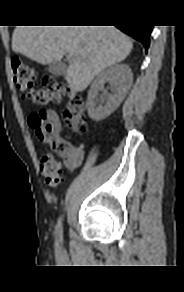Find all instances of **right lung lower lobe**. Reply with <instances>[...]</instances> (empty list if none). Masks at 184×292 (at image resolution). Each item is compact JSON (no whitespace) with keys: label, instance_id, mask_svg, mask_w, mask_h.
I'll list each match as a JSON object with an SVG mask.
<instances>
[{"label":"right lung lower lobe","instance_id":"98d812e1","mask_svg":"<svg viewBox=\"0 0 184 292\" xmlns=\"http://www.w3.org/2000/svg\"><path fill=\"white\" fill-rule=\"evenodd\" d=\"M121 31L143 44L147 51L150 43V34L153 26L148 25H117Z\"/></svg>","mask_w":184,"mask_h":292}]
</instances>
